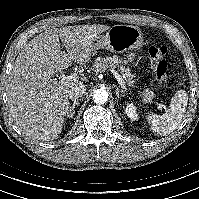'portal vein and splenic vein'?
I'll return each mask as SVG.
<instances>
[{"label": "portal vein and splenic vein", "instance_id": "18ae733b", "mask_svg": "<svg viewBox=\"0 0 199 199\" xmlns=\"http://www.w3.org/2000/svg\"><path fill=\"white\" fill-rule=\"evenodd\" d=\"M112 72H113L115 78L117 79L118 83L121 85V88L124 89V91H127V88L125 86V82L123 81L122 77L116 71H112ZM75 77H76L75 73H73L69 76H65L64 74H61L59 79H61V81L63 82V81H66V80L70 81V80L74 79ZM155 104L157 105V107L159 109L165 108V105H163V104H160L158 102H155Z\"/></svg>", "mask_w": 199, "mask_h": 199}]
</instances>
